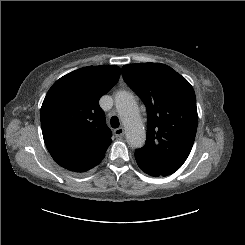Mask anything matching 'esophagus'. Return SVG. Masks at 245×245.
<instances>
[{
  "instance_id": "1",
  "label": "esophagus",
  "mask_w": 245,
  "mask_h": 245,
  "mask_svg": "<svg viewBox=\"0 0 245 245\" xmlns=\"http://www.w3.org/2000/svg\"><path fill=\"white\" fill-rule=\"evenodd\" d=\"M114 133H115V135L117 137H121V136L124 135V129L122 127L121 128H117V129H115Z\"/></svg>"
}]
</instances>
